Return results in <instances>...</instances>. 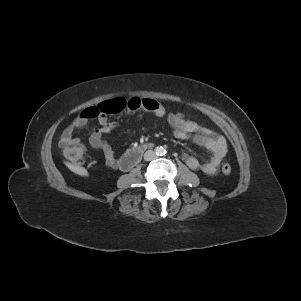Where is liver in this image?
<instances>
[{
  "mask_svg": "<svg viewBox=\"0 0 301 301\" xmlns=\"http://www.w3.org/2000/svg\"><path fill=\"white\" fill-rule=\"evenodd\" d=\"M66 165L74 173H76L78 175H81V176H88V172L85 168H83L81 166H77V165H72V164H69V163H67Z\"/></svg>",
  "mask_w": 301,
  "mask_h": 301,
  "instance_id": "1",
  "label": "liver"
}]
</instances>
